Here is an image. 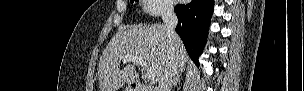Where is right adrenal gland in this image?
<instances>
[{
    "instance_id": "2a0ac1e0",
    "label": "right adrenal gland",
    "mask_w": 304,
    "mask_h": 91,
    "mask_svg": "<svg viewBox=\"0 0 304 91\" xmlns=\"http://www.w3.org/2000/svg\"><path fill=\"white\" fill-rule=\"evenodd\" d=\"M181 73H179L177 76H176V78L174 79V81H173V83H172V86H171V88L173 87V86H176L178 83H180L181 82Z\"/></svg>"
}]
</instances>
